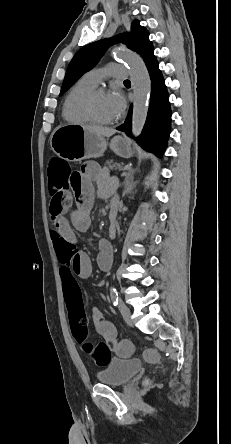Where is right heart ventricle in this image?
<instances>
[{
  "label": "right heart ventricle",
  "instance_id": "1",
  "mask_svg": "<svg viewBox=\"0 0 231 444\" xmlns=\"http://www.w3.org/2000/svg\"><path fill=\"white\" fill-rule=\"evenodd\" d=\"M96 87L85 77L79 79L67 93L62 107L64 119L73 124H86L89 119L83 111V101L85 96Z\"/></svg>",
  "mask_w": 231,
  "mask_h": 444
}]
</instances>
